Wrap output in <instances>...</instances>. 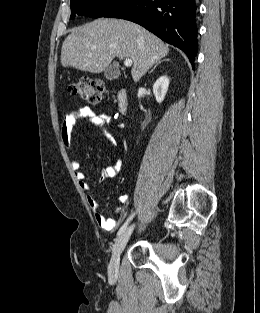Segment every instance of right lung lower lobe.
I'll return each instance as SVG.
<instances>
[{
  "label": "right lung lower lobe",
  "instance_id": "right-lung-lower-lobe-1",
  "mask_svg": "<svg viewBox=\"0 0 260 313\" xmlns=\"http://www.w3.org/2000/svg\"><path fill=\"white\" fill-rule=\"evenodd\" d=\"M195 0H124L103 17L135 22L183 50L193 64L196 54Z\"/></svg>",
  "mask_w": 260,
  "mask_h": 313
}]
</instances>
